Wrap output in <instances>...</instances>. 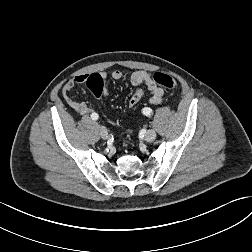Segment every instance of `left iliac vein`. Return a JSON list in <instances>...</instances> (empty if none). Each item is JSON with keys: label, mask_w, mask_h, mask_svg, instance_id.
Here are the masks:
<instances>
[{"label": "left iliac vein", "mask_w": 252, "mask_h": 252, "mask_svg": "<svg viewBox=\"0 0 252 252\" xmlns=\"http://www.w3.org/2000/svg\"><path fill=\"white\" fill-rule=\"evenodd\" d=\"M156 138V132L153 129H150L146 132L144 140L146 142H153Z\"/></svg>", "instance_id": "left-iliac-vein-1"}]
</instances>
